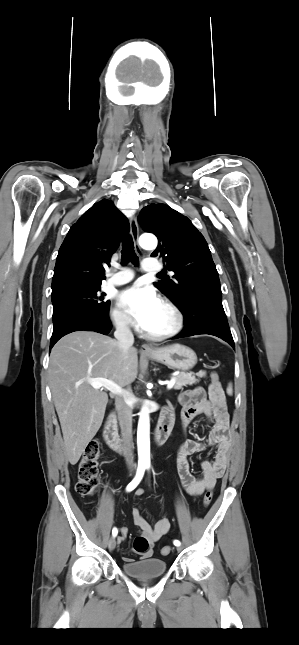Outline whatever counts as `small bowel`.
<instances>
[{
	"mask_svg": "<svg viewBox=\"0 0 299 645\" xmlns=\"http://www.w3.org/2000/svg\"><path fill=\"white\" fill-rule=\"evenodd\" d=\"M179 402L182 405L181 418L184 429L199 415H204L213 422L206 442L187 439L177 453V470L183 487L188 494L199 496L214 488L216 481L224 475L229 461L231 434L226 398L222 389L218 391L210 389L207 396L203 388L197 387L182 393ZM169 411L171 412V410ZM206 447H215L214 458L213 460L203 459L200 463L199 473L195 474L191 469L189 456L203 451ZM142 495L143 490L138 489L136 496ZM132 519L140 529L141 536L148 541V549L144 553L137 554L141 556V559L150 558L153 555V547L168 533L171 525L170 520L167 517H162L152 527L138 508L133 509ZM127 535L128 529L126 527L120 528L119 540L124 541ZM131 552L136 553L134 549ZM123 560L133 561L129 556H124Z\"/></svg>",
	"mask_w": 299,
	"mask_h": 645,
	"instance_id": "small-bowel-1",
	"label": "small bowel"
}]
</instances>
